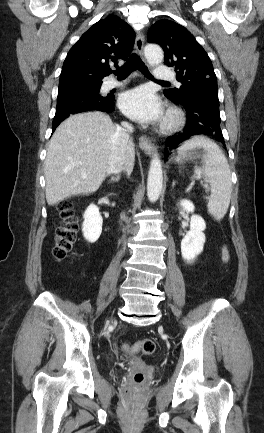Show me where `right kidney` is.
<instances>
[{
	"label": "right kidney",
	"mask_w": 264,
	"mask_h": 433,
	"mask_svg": "<svg viewBox=\"0 0 264 433\" xmlns=\"http://www.w3.org/2000/svg\"><path fill=\"white\" fill-rule=\"evenodd\" d=\"M83 218V236L88 242L94 243L99 239L102 232L103 220L99 208L95 204H90L84 212Z\"/></svg>",
	"instance_id": "right-kidney-1"
}]
</instances>
